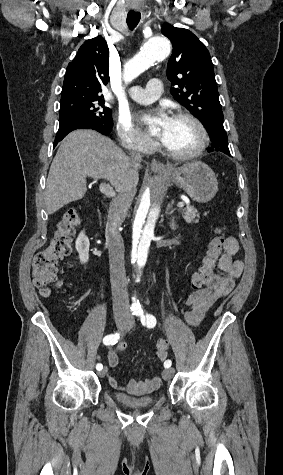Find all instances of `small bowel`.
<instances>
[{
	"mask_svg": "<svg viewBox=\"0 0 283 475\" xmlns=\"http://www.w3.org/2000/svg\"><path fill=\"white\" fill-rule=\"evenodd\" d=\"M225 242L228 244L227 251L221 256V271L214 274L215 281L210 283L208 291H193L187 298L188 309L184 313L186 323L196 328L203 320L205 314L212 307L215 301L223 296L229 295L235 287V281L242 275L244 264L241 260L235 259L239 251V245L234 237H227ZM124 343L116 348L110 349L107 354L108 366L111 369L119 365L118 352L125 350ZM161 382L160 376H154L145 380H131L128 383L130 391H136L142 387H157ZM109 383L114 388H119L120 384L113 376L109 377Z\"/></svg>",
	"mask_w": 283,
	"mask_h": 475,
	"instance_id": "1",
	"label": "small bowel"
}]
</instances>
